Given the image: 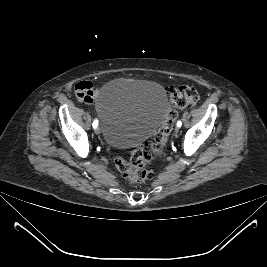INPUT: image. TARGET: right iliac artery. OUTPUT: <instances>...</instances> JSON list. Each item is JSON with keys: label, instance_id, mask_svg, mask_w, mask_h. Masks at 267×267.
<instances>
[{"label": "right iliac artery", "instance_id": "right-iliac-artery-1", "mask_svg": "<svg viewBox=\"0 0 267 267\" xmlns=\"http://www.w3.org/2000/svg\"><path fill=\"white\" fill-rule=\"evenodd\" d=\"M97 126H98V121L95 120V121L93 122V128H96Z\"/></svg>", "mask_w": 267, "mask_h": 267}]
</instances>
